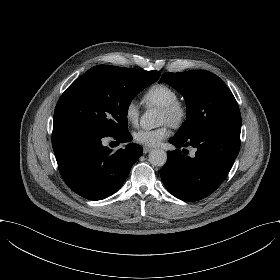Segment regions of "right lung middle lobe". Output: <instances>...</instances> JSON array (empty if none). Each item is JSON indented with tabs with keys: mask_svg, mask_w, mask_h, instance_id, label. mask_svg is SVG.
<instances>
[{
	"mask_svg": "<svg viewBox=\"0 0 280 280\" xmlns=\"http://www.w3.org/2000/svg\"><path fill=\"white\" fill-rule=\"evenodd\" d=\"M157 81L145 70L98 65L76 79L57 102L53 132L76 129L102 137L127 130L132 99Z\"/></svg>",
	"mask_w": 280,
	"mask_h": 280,
	"instance_id": "1",
	"label": "right lung middle lobe"
}]
</instances>
